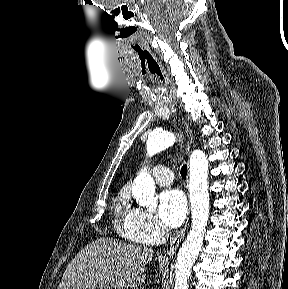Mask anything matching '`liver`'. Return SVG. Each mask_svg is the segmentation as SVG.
Listing matches in <instances>:
<instances>
[{
	"label": "liver",
	"mask_w": 288,
	"mask_h": 289,
	"mask_svg": "<svg viewBox=\"0 0 288 289\" xmlns=\"http://www.w3.org/2000/svg\"><path fill=\"white\" fill-rule=\"evenodd\" d=\"M153 253L146 247L99 238L72 259L57 289H135L145 282V266Z\"/></svg>",
	"instance_id": "6515ba94"
}]
</instances>
